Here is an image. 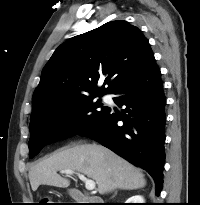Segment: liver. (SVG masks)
Listing matches in <instances>:
<instances>
[{
    "label": "liver",
    "instance_id": "1",
    "mask_svg": "<svg viewBox=\"0 0 200 205\" xmlns=\"http://www.w3.org/2000/svg\"><path fill=\"white\" fill-rule=\"evenodd\" d=\"M59 170L76 171L93 179L100 194L146 185L144 174L111 150L80 142L33 165L29 171L32 190L36 191L40 185L67 188L70 181L60 176Z\"/></svg>",
    "mask_w": 200,
    "mask_h": 205
}]
</instances>
